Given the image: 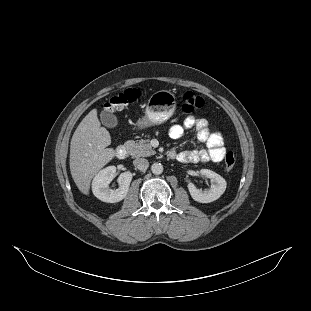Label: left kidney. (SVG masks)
I'll use <instances>...</instances> for the list:
<instances>
[{
    "label": "left kidney",
    "mask_w": 311,
    "mask_h": 311,
    "mask_svg": "<svg viewBox=\"0 0 311 311\" xmlns=\"http://www.w3.org/2000/svg\"><path fill=\"white\" fill-rule=\"evenodd\" d=\"M200 174L211 180V187L205 191L197 189L193 183L188 184L191 197L200 203H209L217 200L226 190V181L216 172L209 169H201Z\"/></svg>",
    "instance_id": "5707ae66"
}]
</instances>
